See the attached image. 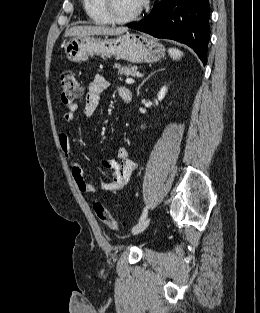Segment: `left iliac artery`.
Segmentation results:
<instances>
[{
	"instance_id": "obj_1",
	"label": "left iliac artery",
	"mask_w": 260,
	"mask_h": 313,
	"mask_svg": "<svg viewBox=\"0 0 260 313\" xmlns=\"http://www.w3.org/2000/svg\"><path fill=\"white\" fill-rule=\"evenodd\" d=\"M147 214H148V205L144 208V210H143V212H142V215H141L139 221L144 220V219L147 217Z\"/></svg>"
}]
</instances>
